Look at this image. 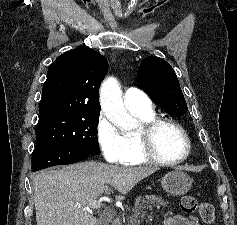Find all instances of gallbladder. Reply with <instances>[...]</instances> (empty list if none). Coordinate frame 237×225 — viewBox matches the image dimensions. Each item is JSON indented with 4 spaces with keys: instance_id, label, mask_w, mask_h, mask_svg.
Instances as JSON below:
<instances>
[{
    "instance_id": "obj_1",
    "label": "gallbladder",
    "mask_w": 237,
    "mask_h": 225,
    "mask_svg": "<svg viewBox=\"0 0 237 225\" xmlns=\"http://www.w3.org/2000/svg\"><path fill=\"white\" fill-rule=\"evenodd\" d=\"M100 221L101 225H108L110 223V220L107 217L101 218Z\"/></svg>"
}]
</instances>
